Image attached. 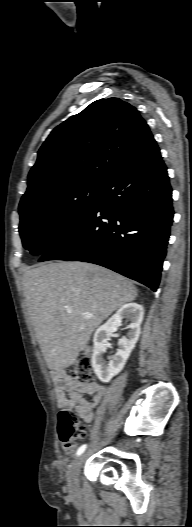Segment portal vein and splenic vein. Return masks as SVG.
<instances>
[{"instance_id":"1","label":"portal vein and splenic vein","mask_w":192,"mask_h":527,"mask_svg":"<svg viewBox=\"0 0 192 527\" xmlns=\"http://www.w3.org/2000/svg\"><path fill=\"white\" fill-rule=\"evenodd\" d=\"M66 311H67L68 313H72L73 310H72L71 308H67ZM92 317H93L92 314L84 315V318H87V319H88V318H92Z\"/></svg>"}]
</instances>
